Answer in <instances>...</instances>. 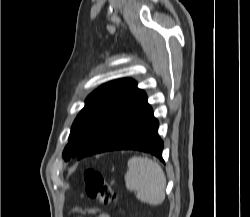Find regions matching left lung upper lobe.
<instances>
[{
  "mask_svg": "<svg viewBox=\"0 0 250 217\" xmlns=\"http://www.w3.org/2000/svg\"><path fill=\"white\" fill-rule=\"evenodd\" d=\"M132 79H119L102 85L86 99L75 119L63 158L77 157L102 130L110 118L137 89Z\"/></svg>",
  "mask_w": 250,
  "mask_h": 217,
  "instance_id": "1",
  "label": "left lung upper lobe"
}]
</instances>
